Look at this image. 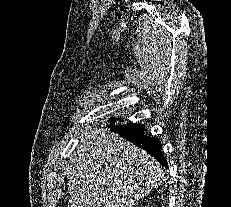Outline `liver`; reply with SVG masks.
Listing matches in <instances>:
<instances>
[{
    "mask_svg": "<svg viewBox=\"0 0 231 207\" xmlns=\"http://www.w3.org/2000/svg\"><path fill=\"white\" fill-rule=\"evenodd\" d=\"M66 169L67 207H133L165 173L147 152L118 134L85 129Z\"/></svg>",
    "mask_w": 231,
    "mask_h": 207,
    "instance_id": "obj_1",
    "label": "liver"
}]
</instances>
